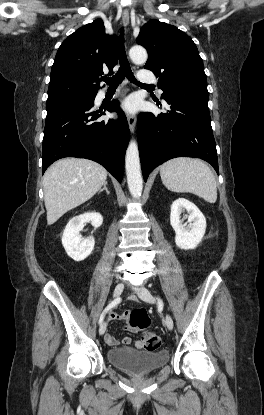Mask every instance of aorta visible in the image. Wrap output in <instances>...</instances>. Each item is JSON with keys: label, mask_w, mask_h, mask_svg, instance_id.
<instances>
[{"label": "aorta", "mask_w": 264, "mask_h": 415, "mask_svg": "<svg viewBox=\"0 0 264 415\" xmlns=\"http://www.w3.org/2000/svg\"><path fill=\"white\" fill-rule=\"evenodd\" d=\"M129 55L134 63H145L148 57L147 51L141 46L132 47L129 51ZM125 168L130 194L134 198H138L142 194L143 180L141 175L138 146L133 140L130 141L126 151Z\"/></svg>", "instance_id": "762f6f07"}]
</instances>
